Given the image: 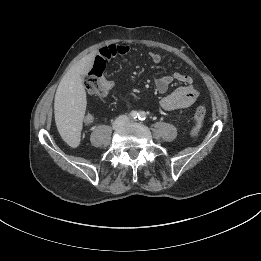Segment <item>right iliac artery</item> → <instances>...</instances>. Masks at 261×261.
Returning <instances> with one entry per match:
<instances>
[{"mask_svg": "<svg viewBox=\"0 0 261 261\" xmlns=\"http://www.w3.org/2000/svg\"><path fill=\"white\" fill-rule=\"evenodd\" d=\"M129 117H130L131 119H136V118L139 117V113L136 112V111H132V112L129 114Z\"/></svg>", "mask_w": 261, "mask_h": 261, "instance_id": "1", "label": "right iliac artery"}]
</instances>
